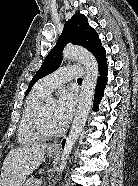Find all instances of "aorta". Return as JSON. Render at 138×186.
Returning <instances> with one entry per match:
<instances>
[{"label": "aorta", "instance_id": "762f6f07", "mask_svg": "<svg viewBox=\"0 0 138 186\" xmlns=\"http://www.w3.org/2000/svg\"><path fill=\"white\" fill-rule=\"evenodd\" d=\"M65 60L80 61L85 68L77 112L73 120L69 135L61 155L58 172L65 168L66 161L71 154L74 144L79 138L86 124L94 95V88L98 77V64L95 57L86 49L77 46L66 47L63 51Z\"/></svg>", "mask_w": 138, "mask_h": 186}]
</instances>
